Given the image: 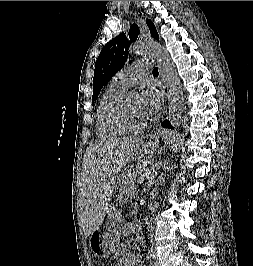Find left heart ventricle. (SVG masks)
<instances>
[{
    "label": "left heart ventricle",
    "mask_w": 253,
    "mask_h": 266,
    "mask_svg": "<svg viewBox=\"0 0 253 266\" xmlns=\"http://www.w3.org/2000/svg\"><path fill=\"white\" fill-rule=\"evenodd\" d=\"M122 113L125 119L133 124H138L145 119L138 94H132L125 100Z\"/></svg>",
    "instance_id": "left-heart-ventricle-1"
}]
</instances>
